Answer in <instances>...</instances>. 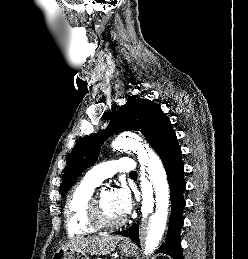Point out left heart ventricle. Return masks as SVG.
<instances>
[{
    "label": "left heart ventricle",
    "mask_w": 248,
    "mask_h": 259,
    "mask_svg": "<svg viewBox=\"0 0 248 259\" xmlns=\"http://www.w3.org/2000/svg\"><path fill=\"white\" fill-rule=\"evenodd\" d=\"M100 203L103 215L106 220L117 221L123 217L114 203L112 191L102 190L100 193Z\"/></svg>",
    "instance_id": "obj_1"
}]
</instances>
